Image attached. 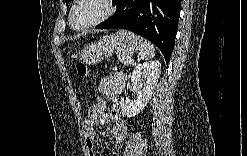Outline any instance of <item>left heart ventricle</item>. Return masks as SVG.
<instances>
[{
    "mask_svg": "<svg viewBox=\"0 0 247 156\" xmlns=\"http://www.w3.org/2000/svg\"><path fill=\"white\" fill-rule=\"evenodd\" d=\"M105 12V6L98 0H86L75 9L73 23L77 26L88 24Z\"/></svg>",
    "mask_w": 247,
    "mask_h": 156,
    "instance_id": "1",
    "label": "left heart ventricle"
}]
</instances>
